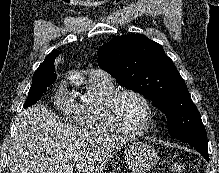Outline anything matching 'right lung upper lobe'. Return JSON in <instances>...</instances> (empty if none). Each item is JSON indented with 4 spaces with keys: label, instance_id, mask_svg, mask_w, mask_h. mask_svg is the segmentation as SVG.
Masks as SVG:
<instances>
[{
    "label": "right lung upper lobe",
    "instance_id": "right-lung-upper-lobe-1",
    "mask_svg": "<svg viewBox=\"0 0 219 173\" xmlns=\"http://www.w3.org/2000/svg\"><path fill=\"white\" fill-rule=\"evenodd\" d=\"M59 55V51L55 50L52 51L43 61V63L39 66V68L36 70V72H48L51 73L53 75L56 76V73H54L55 71V65H54V61L55 58Z\"/></svg>",
    "mask_w": 219,
    "mask_h": 173
}]
</instances>
